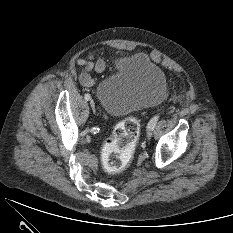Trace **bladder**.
<instances>
[{"instance_id":"1","label":"bladder","mask_w":233,"mask_h":233,"mask_svg":"<svg viewBox=\"0 0 233 233\" xmlns=\"http://www.w3.org/2000/svg\"><path fill=\"white\" fill-rule=\"evenodd\" d=\"M168 92L165 73L147 55L136 53L122 58L116 72L97 87L103 110L119 117L161 103Z\"/></svg>"}]
</instances>
